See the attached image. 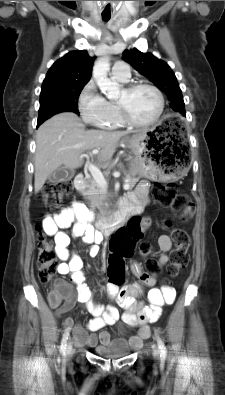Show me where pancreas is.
<instances>
[{
  "mask_svg": "<svg viewBox=\"0 0 225 395\" xmlns=\"http://www.w3.org/2000/svg\"><path fill=\"white\" fill-rule=\"evenodd\" d=\"M139 177H135L134 175H127L125 182H128L130 185V190L136 185L139 181ZM89 189L82 191L83 196L90 200V207L91 208H98L102 212L103 206L106 204L104 203L106 200L105 191L96 183L94 179L89 180Z\"/></svg>",
  "mask_w": 225,
  "mask_h": 395,
  "instance_id": "pancreas-1",
  "label": "pancreas"
}]
</instances>
